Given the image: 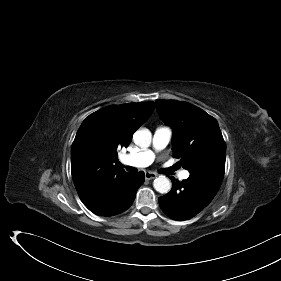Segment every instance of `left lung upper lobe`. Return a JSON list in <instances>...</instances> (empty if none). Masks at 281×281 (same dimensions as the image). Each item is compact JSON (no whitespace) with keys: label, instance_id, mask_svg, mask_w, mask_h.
Returning <instances> with one entry per match:
<instances>
[{"label":"left lung upper lobe","instance_id":"left-lung-upper-lobe-1","mask_svg":"<svg viewBox=\"0 0 281 281\" xmlns=\"http://www.w3.org/2000/svg\"><path fill=\"white\" fill-rule=\"evenodd\" d=\"M160 117L173 129L172 151L191 174L222 183L226 144L215 118L176 100H156Z\"/></svg>","mask_w":281,"mask_h":281}]
</instances>
